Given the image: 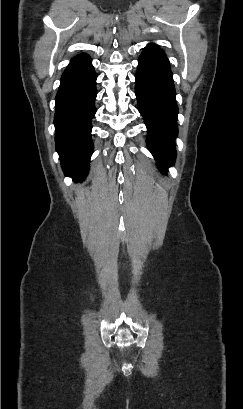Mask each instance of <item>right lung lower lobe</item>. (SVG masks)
I'll use <instances>...</instances> for the list:
<instances>
[{
  "label": "right lung lower lobe",
  "mask_w": 243,
  "mask_h": 409,
  "mask_svg": "<svg viewBox=\"0 0 243 409\" xmlns=\"http://www.w3.org/2000/svg\"><path fill=\"white\" fill-rule=\"evenodd\" d=\"M96 74L87 54L74 57L61 77L56 95V150L66 176L81 182L93 153L91 120L96 112Z\"/></svg>",
  "instance_id": "98d812e1"
}]
</instances>
